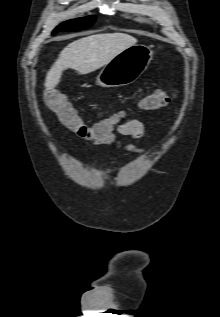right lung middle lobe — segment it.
<instances>
[{
    "instance_id": "obj_1",
    "label": "right lung middle lobe",
    "mask_w": 220,
    "mask_h": 317,
    "mask_svg": "<svg viewBox=\"0 0 220 317\" xmlns=\"http://www.w3.org/2000/svg\"><path fill=\"white\" fill-rule=\"evenodd\" d=\"M95 20V16H88L84 18L69 20L57 26L56 29L53 31V34L59 31L74 32L84 30L90 27L95 22Z\"/></svg>"
}]
</instances>
